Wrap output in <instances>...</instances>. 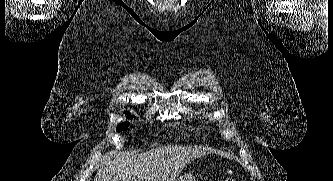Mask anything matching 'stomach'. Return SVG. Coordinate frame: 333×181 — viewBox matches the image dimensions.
Returning a JSON list of instances; mask_svg holds the SVG:
<instances>
[{
  "mask_svg": "<svg viewBox=\"0 0 333 181\" xmlns=\"http://www.w3.org/2000/svg\"><path fill=\"white\" fill-rule=\"evenodd\" d=\"M175 181H196L195 177L190 173L180 175Z\"/></svg>",
  "mask_w": 333,
  "mask_h": 181,
  "instance_id": "stomach-1",
  "label": "stomach"
}]
</instances>
